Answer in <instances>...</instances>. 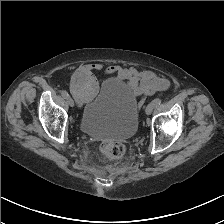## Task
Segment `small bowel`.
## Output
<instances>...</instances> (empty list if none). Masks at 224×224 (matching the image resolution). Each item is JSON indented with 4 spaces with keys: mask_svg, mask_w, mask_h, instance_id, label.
<instances>
[{
    "mask_svg": "<svg viewBox=\"0 0 224 224\" xmlns=\"http://www.w3.org/2000/svg\"><path fill=\"white\" fill-rule=\"evenodd\" d=\"M84 68L91 71H102L106 74H114L120 80H127L129 89L135 97H144L157 91H163L168 88L169 81L152 71H139L136 68H123L118 65H112L106 68L99 63H90Z\"/></svg>",
    "mask_w": 224,
    "mask_h": 224,
    "instance_id": "obj_1",
    "label": "small bowel"
}]
</instances>
